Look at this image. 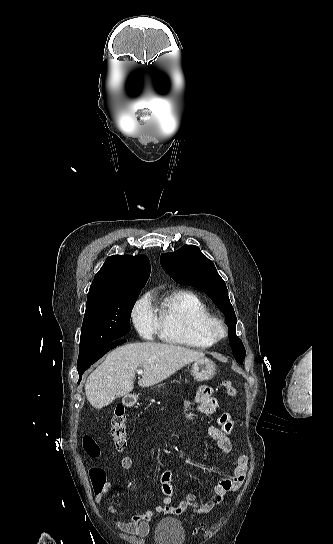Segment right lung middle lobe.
<instances>
[{
	"label": "right lung middle lobe",
	"instance_id": "1",
	"mask_svg": "<svg viewBox=\"0 0 333 544\" xmlns=\"http://www.w3.org/2000/svg\"><path fill=\"white\" fill-rule=\"evenodd\" d=\"M139 294L137 291L87 302L77 367L105 352L117 339L129 333L131 311Z\"/></svg>",
	"mask_w": 333,
	"mask_h": 544
}]
</instances>
